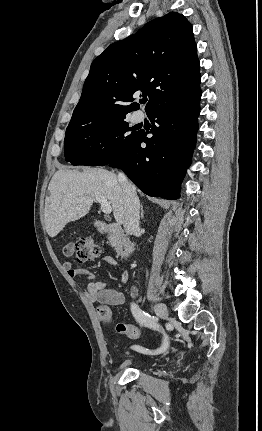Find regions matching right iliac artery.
<instances>
[{
	"label": "right iliac artery",
	"mask_w": 262,
	"mask_h": 431,
	"mask_svg": "<svg viewBox=\"0 0 262 431\" xmlns=\"http://www.w3.org/2000/svg\"><path fill=\"white\" fill-rule=\"evenodd\" d=\"M131 311L133 316L135 317L136 321L140 324L143 325L145 327H149L152 329H157L158 328V324H157V320L155 317L150 316L148 313L142 311L138 305H136L135 303L131 304ZM163 344L160 348L154 350V351H150L149 349H144L138 345H134L132 346V349L137 350V351H141L144 353H149V354H160L162 352H164L166 350V348L168 347V340H167V336L165 335V333H163Z\"/></svg>",
	"instance_id": "right-iliac-artery-1"
}]
</instances>
